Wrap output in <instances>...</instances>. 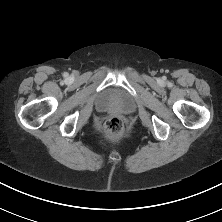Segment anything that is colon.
Masks as SVG:
<instances>
[{
    "mask_svg": "<svg viewBox=\"0 0 222 222\" xmlns=\"http://www.w3.org/2000/svg\"><path fill=\"white\" fill-rule=\"evenodd\" d=\"M105 130L109 137L117 138L123 133V121L119 117H111L105 122Z\"/></svg>",
    "mask_w": 222,
    "mask_h": 222,
    "instance_id": "1",
    "label": "colon"
}]
</instances>
